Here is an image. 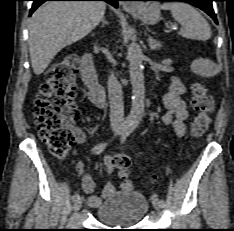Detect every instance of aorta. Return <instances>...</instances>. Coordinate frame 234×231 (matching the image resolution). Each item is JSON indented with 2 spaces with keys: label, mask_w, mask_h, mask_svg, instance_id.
I'll return each mask as SVG.
<instances>
[{
  "label": "aorta",
  "mask_w": 234,
  "mask_h": 231,
  "mask_svg": "<svg viewBox=\"0 0 234 231\" xmlns=\"http://www.w3.org/2000/svg\"><path fill=\"white\" fill-rule=\"evenodd\" d=\"M127 58L133 94L132 107L127 119L130 123L136 124L143 117L145 104L143 53L137 43L132 42L128 46Z\"/></svg>",
  "instance_id": "762f6f07"
}]
</instances>
